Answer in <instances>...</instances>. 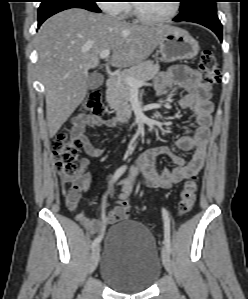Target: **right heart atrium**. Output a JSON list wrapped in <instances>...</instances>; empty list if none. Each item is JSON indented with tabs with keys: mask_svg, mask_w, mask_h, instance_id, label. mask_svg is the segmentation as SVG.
Wrapping results in <instances>:
<instances>
[{
	"mask_svg": "<svg viewBox=\"0 0 248 299\" xmlns=\"http://www.w3.org/2000/svg\"><path fill=\"white\" fill-rule=\"evenodd\" d=\"M124 2L123 0H100V7L107 14L122 16L127 12Z\"/></svg>",
	"mask_w": 248,
	"mask_h": 299,
	"instance_id": "right-heart-atrium-1",
	"label": "right heart atrium"
}]
</instances>
